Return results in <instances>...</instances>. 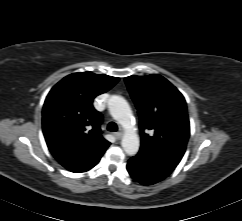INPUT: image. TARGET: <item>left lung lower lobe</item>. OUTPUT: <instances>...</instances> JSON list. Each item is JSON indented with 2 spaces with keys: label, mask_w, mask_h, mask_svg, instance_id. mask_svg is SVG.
<instances>
[{
  "label": "left lung lower lobe",
  "mask_w": 242,
  "mask_h": 221,
  "mask_svg": "<svg viewBox=\"0 0 242 221\" xmlns=\"http://www.w3.org/2000/svg\"><path fill=\"white\" fill-rule=\"evenodd\" d=\"M176 166L171 160L140 148L138 154L129 159L127 170L137 182L152 185L165 179Z\"/></svg>",
  "instance_id": "0a47b994"
}]
</instances>
